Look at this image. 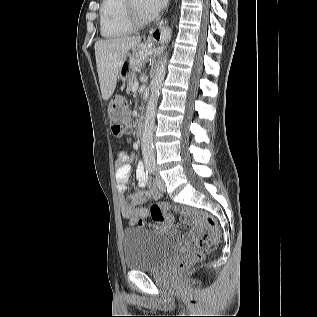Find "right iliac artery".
<instances>
[{"label":"right iliac artery","mask_w":317,"mask_h":317,"mask_svg":"<svg viewBox=\"0 0 317 317\" xmlns=\"http://www.w3.org/2000/svg\"><path fill=\"white\" fill-rule=\"evenodd\" d=\"M148 172H149L150 174L153 173V172H154V168L148 169L147 174H148Z\"/></svg>","instance_id":"right-iliac-artery-1"}]
</instances>
